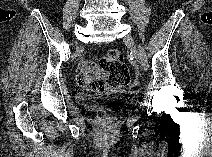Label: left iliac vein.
Here are the masks:
<instances>
[{
    "label": "left iliac vein",
    "mask_w": 212,
    "mask_h": 157,
    "mask_svg": "<svg viewBox=\"0 0 212 157\" xmlns=\"http://www.w3.org/2000/svg\"><path fill=\"white\" fill-rule=\"evenodd\" d=\"M124 42L128 45V47L130 48L135 60L141 65V67L145 70L144 65L142 63V59H141V55L140 52L137 48V45L135 43L134 38L131 35H127L124 38Z\"/></svg>",
    "instance_id": "obj_1"
}]
</instances>
